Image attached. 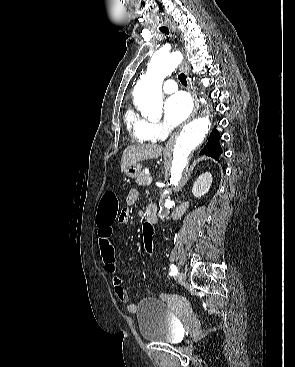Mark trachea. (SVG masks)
Wrapping results in <instances>:
<instances>
[{
  "label": "trachea",
  "mask_w": 295,
  "mask_h": 367,
  "mask_svg": "<svg viewBox=\"0 0 295 367\" xmlns=\"http://www.w3.org/2000/svg\"><path fill=\"white\" fill-rule=\"evenodd\" d=\"M159 30L162 32V33H165V34H169V30L167 27H160ZM180 82L183 84V85H187V81H186V76L181 73L179 76H178Z\"/></svg>",
  "instance_id": "3493384b"
}]
</instances>
